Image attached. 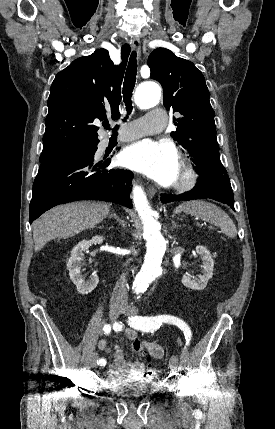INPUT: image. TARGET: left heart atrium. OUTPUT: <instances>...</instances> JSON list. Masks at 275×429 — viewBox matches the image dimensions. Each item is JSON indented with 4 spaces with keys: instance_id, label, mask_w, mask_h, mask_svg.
<instances>
[{
    "instance_id": "left-heart-atrium-1",
    "label": "left heart atrium",
    "mask_w": 275,
    "mask_h": 429,
    "mask_svg": "<svg viewBox=\"0 0 275 429\" xmlns=\"http://www.w3.org/2000/svg\"><path fill=\"white\" fill-rule=\"evenodd\" d=\"M120 162L128 168L145 173L162 185L174 183L179 174L177 152L164 141L136 142L124 149Z\"/></svg>"
}]
</instances>
